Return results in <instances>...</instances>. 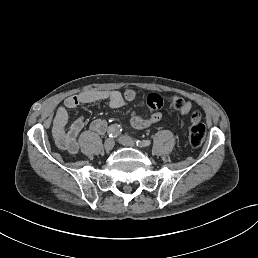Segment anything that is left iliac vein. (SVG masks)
I'll use <instances>...</instances> for the list:
<instances>
[{
    "label": "left iliac vein",
    "mask_w": 258,
    "mask_h": 258,
    "mask_svg": "<svg viewBox=\"0 0 258 258\" xmlns=\"http://www.w3.org/2000/svg\"><path fill=\"white\" fill-rule=\"evenodd\" d=\"M117 141L121 142L122 145H127V146H131V147H136V140L132 139L129 136H125V135H118L117 136Z\"/></svg>",
    "instance_id": "4c4485c4"
}]
</instances>
